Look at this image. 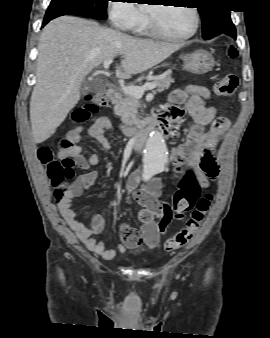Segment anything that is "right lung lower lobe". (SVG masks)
<instances>
[{"label": "right lung lower lobe", "mask_w": 270, "mask_h": 338, "mask_svg": "<svg viewBox=\"0 0 270 338\" xmlns=\"http://www.w3.org/2000/svg\"><path fill=\"white\" fill-rule=\"evenodd\" d=\"M57 16L45 17L42 26L46 25L50 20L56 18Z\"/></svg>", "instance_id": "right-lung-lower-lobe-1"}]
</instances>
